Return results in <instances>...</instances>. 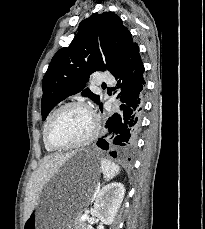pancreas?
<instances>
[{
  "label": "pancreas",
  "instance_id": "1",
  "mask_svg": "<svg viewBox=\"0 0 205 229\" xmlns=\"http://www.w3.org/2000/svg\"><path fill=\"white\" fill-rule=\"evenodd\" d=\"M75 229H86L85 223L80 220V217L75 222Z\"/></svg>",
  "mask_w": 205,
  "mask_h": 229
}]
</instances>
